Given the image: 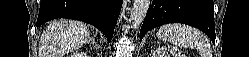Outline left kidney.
Here are the masks:
<instances>
[{"label":"left kidney","instance_id":"1","mask_svg":"<svg viewBox=\"0 0 249 57\" xmlns=\"http://www.w3.org/2000/svg\"><path fill=\"white\" fill-rule=\"evenodd\" d=\"M152 57H186L175 47H158L152 52Z\"/></svg>","mask_w":249,"mask_h":57}]
</instances>
